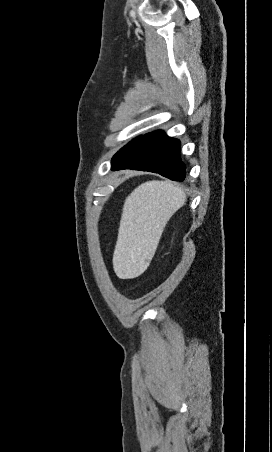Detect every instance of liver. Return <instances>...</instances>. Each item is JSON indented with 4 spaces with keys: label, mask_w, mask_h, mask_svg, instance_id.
<instances>
[{
    "label": "liver",
    "mask_w": 272,
    "mask_h": 452,
    "mask_svg": "<svg viewBox=\"0 0 272 452\" xmlns=\"http://www.w3.org/2000/svg\"><path fill=\"white\" fill-rule=\"evenodd\" d=\"M185 201L179 186L159 180L139 185L126 198L113 254L120 279L137 278L147 270L167 222Z\"/></svg>",
    "instance_id": "1"
}]
</instances>
